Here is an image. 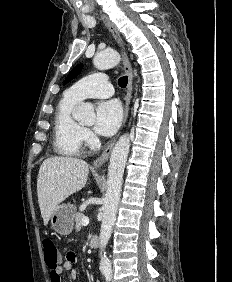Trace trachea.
<instances>
[{"instance_id": "trachea-1", "label": "trachea", "mask_w": 232, "mask_h": 282, "mask_svg": "<svg viewBox=\"0 0 232 282\" xmlns=\"http://www.w3.org/2000/svg\"><path fill=\"white\" fill-rule=\"evenodd\" d=\"M127 82H128L127 76H123V77L119 78V80H118V84L121 88H125L126 85H127Z\"/></svg>"}]
</instances>
